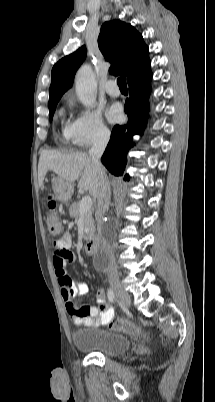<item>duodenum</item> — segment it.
Masks as SVG:
<instances>
[{"label": "duodenum", "mask_w": 215, "mask_h": 402, "mask_svg": "<svg viewBox=\"0 0 215 402\" xmlns=\"http://www.w3.org/2000/svg\"><path fill=\"white\" fill-rule=\"evenodd\" d=\"M99 248V242L96 239H91L87 242L85 246V251L88 255H94L97 253Z\"/></svg>", "instance_id": "duodenum-1"}]
</instances>
